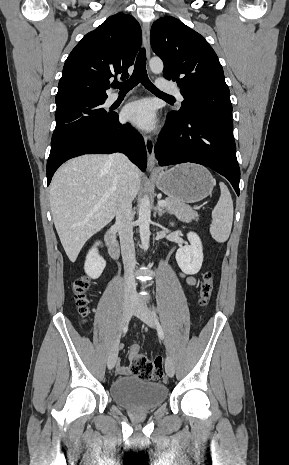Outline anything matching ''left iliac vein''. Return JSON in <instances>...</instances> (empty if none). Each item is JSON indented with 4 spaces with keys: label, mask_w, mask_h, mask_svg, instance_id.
Segmentation results:
<instances>
[{
    "label": "left iliac vein",
    "mask_w": 289,
    "mask_h": 465,
    "mask_svg": "<svg viewBox=\"0 0 289 465\" xmlns=\"http://www.w3.org/2000/svg\"><path fill=\"white\" fill-rule=\"evenodd\" d=\"M134 315L146 323L149 327L156 326V320L151 310L144 305L140 300L136 301L134 306ZM165 371L169 377H173L175 373V366L172 358L167 355L165 360Z\"/></svg>",
    "instance_id": "obj_1"
}]
</instances>
